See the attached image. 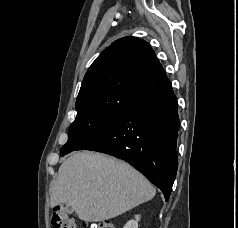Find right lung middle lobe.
<instances>
[{
  "label": "right lung middle lobe",
  "mask_w": 238,
  "mask_h": 228,
  "mask_svg": "<svg viewBox=\"0 0 238 228\" xmlns=\"http://www.w3.org/2000/svg\"><path fill=\"white\" fill-rule=\"evenodd\" d=\"M125 111L90 109L77 112V116L68 131V141L60 150L61 156L72 152L91 139Z\"/></svg>",
  "instance_id": "1"
}]
</instances>
